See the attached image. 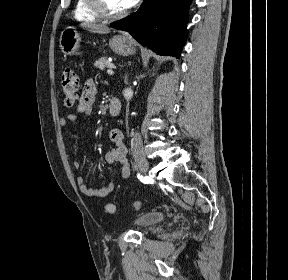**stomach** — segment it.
Here are the masks:
<instances>
[{"label": "stomach", "mask_w": 288, "mask_h": 280, "mask_svg": "<svg viewBox=\"0 0 288 280\" xmlns=\"http://www.w3.org/2000/svg\"><path fill=\"white\" fill-rule=\"evenodd\" d=\"M81 37L74 27L65 28L60 36V47L66 55H76L79 52ZM109 47L117 54L128 56L135 53L131 41L124 36H114L109 40Z\"/></svg>", "instance_id": "stomach-1"}]
</instances>
